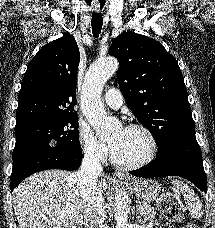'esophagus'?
<instances>
[{"label":"esophagus","instance_id":"1","mask_svg":"<svg viewBox=\"0 0 215 228\" xmlns=\"http://www.w3.org/2000/svg\"><path fill=\"white\" fill-rule=\"evenodd\" d=\"M114 176L115 177H121V176H123V173H121V172H115L114 173Z\"/></svg>","mask_w":215,"mask_h":228}]
</instances>
